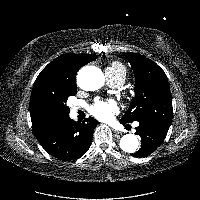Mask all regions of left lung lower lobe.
<instances>
[{"mask_svg":"<svg viewBox=\"0 0 200 200\" xmlns=\"http://www.w3.org/2000/svg\"><path fill=\"white\" fill-rule=\"evenodd\" d=\"M121 123L126 124L124 121ZM169 126L154 121H140L136 134L141 137V148L131 155L142 158L151 154L165 139Z\"/></svg>","mask_w":200,"mask_h":200,"instance_id":"obj_1","label":"left lung lower lobe"}]
</instances>
